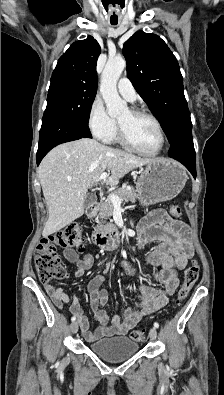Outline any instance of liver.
Masks as SVG:
<instances>
[{"mask_svg": "<svg viewBox=\"0 0 224 395\" xmlns=\"http://www.w3.org/2000/svg\"><path fill=\"white\" fill-rule=\"evenodd\" d=\"M155 160L114 149L88 138L52 149L38 168L49 214L43 236L61 230L83 215L86 193L103 172L110 173L106 184L116 186L128 172Z\"/></svg>", "mask_w": 224, "mask_h": 395, "instance_id": "obj_1", "label": "liver"}]
</instances>
